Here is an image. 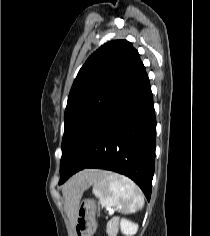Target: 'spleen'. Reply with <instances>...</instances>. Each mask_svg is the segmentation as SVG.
I'll list each match as a JSON object with an SVG mask.
<instances>
[{
    "label": "spleen",
    "instance_id": "3e777b00",
    "mask_svg": "<svg viewBox=\"0 0 210 236\" xmlns=\"http://www.w3.org/2000/svg\"><path fill=\"white\" fill-rule=\"evenodd\" d=\"M93 193L104 207H115L121 213L142 209L144 198L137 185L128 177L104 172L94 182Z\"/></svg>",
    "mask_w": 210,
    "mask_h": 236
}]
</instances>
